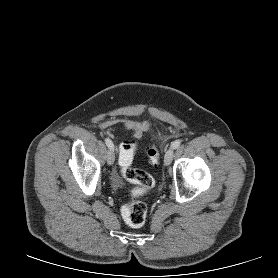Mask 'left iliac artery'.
I'll list each match as a JSON object with an SVG mask.
<instances>
[{"instance_id": "44dca946", "label": "left iliac artery", "mask_w": 278, "mask_h": 278, "mask_svg": "<svg viewBox=\"0 0 278 278\" xmlns=\"http://www.w3.org/2000/svg\"><path fill=\"white\" fill-rule=\"evenodd\" d=\"M180 145H181V140H175L174 142H172L171 147H172L173 149H176V148H178Z\"/></svg>"}]
</instances>
